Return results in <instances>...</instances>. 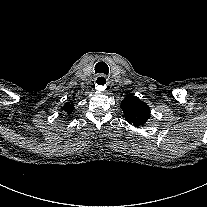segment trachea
Segmentation results:
<instances>
[{
	"instance_id": "obj_1",
	"label": "trachea",
	"mask_w": 207,
	"mask_h": 207,
	"mask_svg": "<svg viewBox=\"0 0 207 207\" xmlns=\"http://www.w3.org/2000/svg\"><path fill=\"white\" fill-rule=\"evenodd\" d=\"M95 73H104L108 75L109 68L105 62H98L95 66Z\"/></svg>"
}]
</instances>
